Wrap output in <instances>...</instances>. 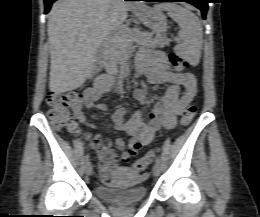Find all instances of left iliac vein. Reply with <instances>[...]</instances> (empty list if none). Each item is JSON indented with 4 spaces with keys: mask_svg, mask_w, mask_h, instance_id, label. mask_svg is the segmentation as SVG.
<instances>
[{
    "mask_svg": "<svg viewBox=\"0 0 260 217\" xmlns=\"http://www.w3.org/2000/svg\"><path fill=\"white\" fill-rule=\"evenodd\" d=\"M152 172H153V175H154L155 177L159 176L160 173H161V167H160V165L157 164V163L154 164V166H153V168H152Z\"/></svg>",
    "mask_w": 260,
    "mask_h": 217,
    "instance_id": "left-iliac-vein-1",
    "label": "left iliac vein"
}]
</instances>
